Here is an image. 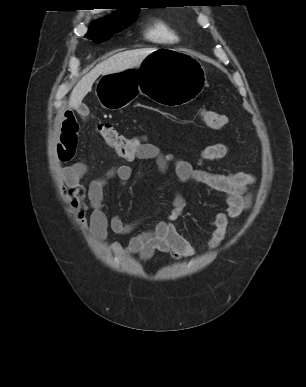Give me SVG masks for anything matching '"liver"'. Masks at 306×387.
<instances>
[{
    "mask_svg": "<svg viewBox=\"0 0 306 387\" xmlns=\"http://www.w3.org/2000/svg\"><path fill=\"white\" fill-rule=\"evenodd\" d=\"M155 49H136L117 53L96 65L74 87L69 98V107L78 109L83 98L91 91L92 85L100 75L123 72L134 68Z\"/></svg>",
    "mask_w": 306,
    "mask_h": 387,
    "instance_id": "obj_1",
    "label": "liver"
}]
</instances>
